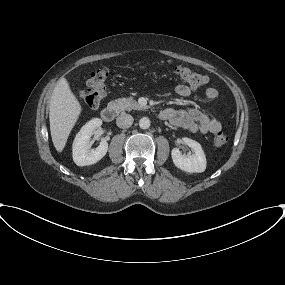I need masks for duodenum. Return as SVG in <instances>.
<instances>
[{"mask_svg":"<svg viewBox=\"0 0 285 285\" xmlns=\"http://www.w3.org/2000/svg\"><path fill=\"white\" fill-rule=\"evenodd\" d=\"M118 107L115 104L105 106L101 111V117L104 121L110 122L118 115Z\"/></svg>","mask_w":285,"mask_h":285,"instance_id":"1","label":"duodenum"}]
</instances>
